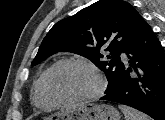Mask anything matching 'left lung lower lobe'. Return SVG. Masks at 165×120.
<instances>
[{"label": "left lung lower lobe", "instance_id": "left-lung-lower-lobe-1", "mask_svg": "<svg viewBox=\"0 0 165 120\" xmlns=\"http://www.w3.org/2000/svg\"><path fill=\"white\" fill-rule=\"evenodd\" d=\"M124 53L129 60L123 63L119 85L100 99L128 105L154 120H165V53L147 23Z\"/></svg>", "mask_w": 165, "mask_h": 120}]
</instances>
